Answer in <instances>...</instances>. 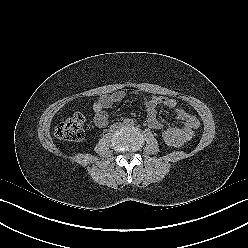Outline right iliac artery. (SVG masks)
I'll return each instance as SVG.
<instances>
[{"label":"right iliac artery","instance_id":"obj_1","mask_svg":"<svg viewBox=\"0 0 248 248\" xmlns=\"http://www.w3.org/2000/svg\"><path fill=\"white\" fill-rule=\"evenodd\" d=\"M128 121L127 120H124V123H127Z\"/></svg>","mask_w":248,"mask_h":248}]
</instances>
